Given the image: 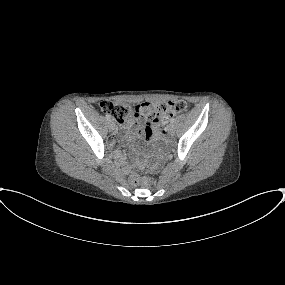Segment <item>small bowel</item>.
<instances>
[{
	"label": "small bowel",
	"instance_id": "obj_1",
	"mask_svg": "<svg viewBox=\"0 0 285 285\" xmlns=\"http://www.w3.org/2000/svg\"><path fill=\"white\" fill-rule=\"evenodd\" d=\"M145 132L146 135L152 137L159 132V125L156 122H149L145 125H142L137 120H131L128 126V133H131L135 136H140L142 132ZM125 137L130 138V134H125ZM114 147V140H109L108 148L113 149Z\"/></svg>",
	"mask_w": 285,
	"mask_h": 285
}]
</instances>
